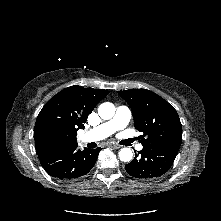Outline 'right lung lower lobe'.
I'll return each instance as SVG.
<instances>
[{
    "label": "right lung lower lobe",
    "mask_w": 221,
    "mask_h": 221,
    "mask_svg": "<svg viewBox=\"0 0 221 221\" xmlns=\"http://www.w3.org/2000/svg\"><path fill=\"white\" fill-rule=\"evenodd\" d=\"M76 142L61 146H45L37 151L44 170L51 176L73 180L86 175L95 165L100 147L79 150Z\"/></svg>",
    "instance_id": "1"
}]
</instances>
